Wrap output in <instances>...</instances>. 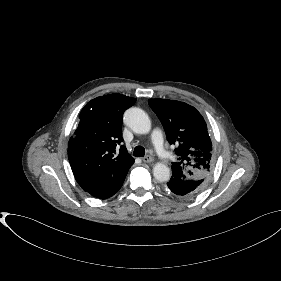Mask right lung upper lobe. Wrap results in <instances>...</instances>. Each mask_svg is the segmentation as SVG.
Instances as JSON below:
<instances>
[{"mask_svg":"<svg viewBox=\"0 0 281 281\" xmlns=\"http://www.w3.org/2000/svg\"><path fill=\"white\" fill-rule=\"evenodd\" d=\"M136 102L122 94L104 95L82 109L68 143V159L78 184L94 197L112 195L124 182L134 159L122 142L124 111Z\"/></svg>","mask_w":281,"mask_h":281,"instance_id":"1","label":"right lung upper lobe"}]
</instances>
